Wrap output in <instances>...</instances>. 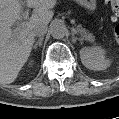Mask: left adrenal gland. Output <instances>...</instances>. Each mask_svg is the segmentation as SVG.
I'll return each instance as SVG.
<instances>
[{
  "label": "left adrenal gland",
  "mask_w": 119,
  "mask_h": 119,
  "mask_svg": "<svg viewBox=\"0 0 119 119\" xmlns=\"http://www.w3.org/2000/svg\"><path fill=\"white\" fill-rule=\"evenodd\" d=\"M77 40L80 41V42H82V41H83V38H77V37H75V35L73 34V35H72V41L75 43Z\"/></svg>",
  "instance_id": "1"
}]
</instances>
